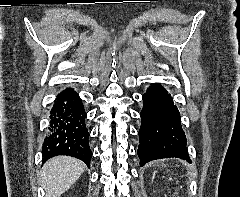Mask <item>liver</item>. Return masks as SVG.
<instances>
[{
  "mask_svg": "<svg viewBox=\"0 0 240 197\" xmlns=\"http://www.w3.org/2000/svg\"><path fill=\"white\" fill-rule=\"evenodd\" d=\"M85 164L70 156H56L48 160L41 171V184L46 197H60L81 176Z\"/></svg>",
  "mask_w": 240,
  "mask_h": 197,
  "instance_id": "liver-1",
  "label": "liver"
}]
</instances>
